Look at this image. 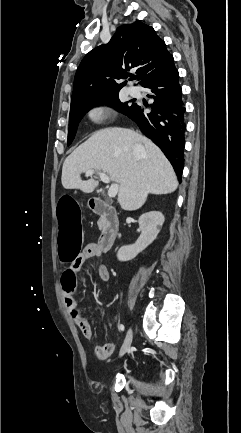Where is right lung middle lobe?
Listing matches in <instances>:
<instances>
[{"instance_id":"dd1d6c3e","label":"right lung middle lobe","mask_w":241,"mask_h":433,"mask_svg":"<svg viewBox=\"0 0 241 433\" xmlns=\"http://www.w3.org/2000/svg\"><path fill=\"white\" fill-rule=\"evenodd\" d=\"M99 104H110L125 115H127L134 106V104L129 105L128 102L121 103L118 98V93L100 98L79 101L74 105H71L67 145H70L72 143L77 131L78 124L81 121L82 117L85 115V113L88 112L93 106Z\"/></svg>"}]
</instances>
